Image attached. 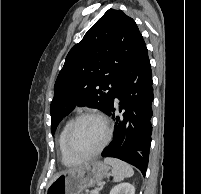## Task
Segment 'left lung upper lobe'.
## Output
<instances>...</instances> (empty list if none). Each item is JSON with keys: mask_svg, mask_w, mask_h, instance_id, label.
Returning a JSON list of instances; mask_svg holds the SVG:
<instances>
[{"mask_svg": "<svg viewBox=\"0 0 201 194\" xmlns=\"http://www.w3.org/2000/svg\"><path fill=\"white\" fill-rule=\"evenodd\" d=\"M143 43L135 21L122 11L109 9L66 57L50 106L52 134L75 106L107 113Z\"/></svg>", "mask_w": 201, "mask_h": 194, "instance_id": "1", "label": "left lung upper lobe"}]
</instances>
